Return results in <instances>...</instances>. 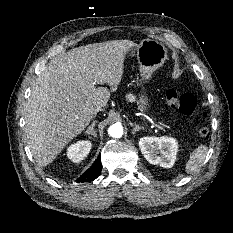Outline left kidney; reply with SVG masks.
I'll use <instances>...</instances> for the list:
<instances>
[{
	"label": "left kidney",
	"mask_w": 233,
	"mask_h": 233,
	"mask_svg": "<svg viewBox=\"0 0 233 233\" xmlns=\"http://www.w3.org/2000/svg\"><path fill=\"white\" fill-rule=\"evenodd\" d=\"M139 147L146 160L163 168H171L176 160L178 142L172 137H142Z\"/></svg>",
	"instance_id": "1"
}]
</instances>
